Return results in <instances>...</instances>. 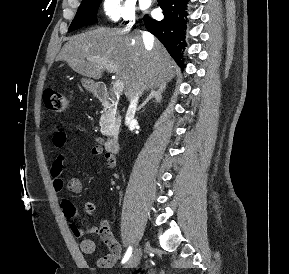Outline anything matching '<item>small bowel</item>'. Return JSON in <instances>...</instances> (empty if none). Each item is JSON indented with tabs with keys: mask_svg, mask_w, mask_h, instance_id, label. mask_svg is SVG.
<instances>
[{
	"mask_svg": "<svg viewBox=\"0 0 289 274\" xmlns=\"http://www.w3.org/2000/svg\"><path fill=\"white\" fill-rule=\"evenodd\" d=\"M76 128L77 130L81 132H87V129L80 124H76ZM68 137H69V133L66 130L60 127H57L52 137L53 146L57 149L64 147L68 141ZM94 139L97 143L102 142V139L100 137H94ZM91 153L95 156H99L103 154L105 166L109 169L114 168L116 164V160L114 156L108 152L104 153L100 144L93 146L91 149ZM65 160H66L65 155L59 154L56 156V158L54 159L51 165L50 175L52 179L53 189L56 192H61L66 186V189L69 192L73 194H80L83 190V185H82V182L78 178L69 179L65 185V182L62 176ZM70 228L73 234L77 237H81L84 234H92V233L100 234L102 240L104 241V243L107 245L109 249V253L100 257L97 260V266L99 268H104V269L111 268L115 265L116 261L121 257L122 247L117 242V240L115 239V237L110 231L106 235V234L101 233L100 230L97 229L96 227H88L84 230H79L75 225L71 224ZM79 247H80L81 252L87 255L93 254L96 250V244L90 238H83L80 241Z\"/></svg>",
	"mask_w": 289,
	"mask_h": 274,
	"instance_id": "obj_1",
	"label": "small bowel"
}]
</instances>
